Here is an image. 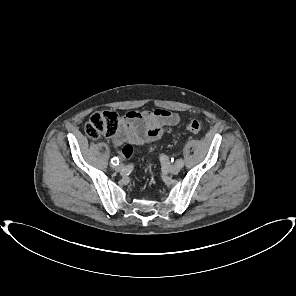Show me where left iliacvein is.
<instances>
[{
	"mask_svg": "<svg viewBox=\"0 0 296 296\" xmlns=\"http://www.w3.org/2000/svg\"><path fill=\"white\" fill-rule=\"evenodd\" d=\"M181 166L180 165H178V164H175V165H171V166H168V171L170 172V173H172V174H177V173H179L180 172V170H181Z\"/></svg>",
	"mask_w": 296,
	"mask_h": 296,
	"instance_id": "left-iliac-vein-1",
	"label": "left iliac vein"
}]
</instances>
